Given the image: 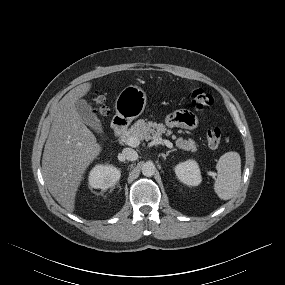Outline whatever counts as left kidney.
<instances>
[{
    "instance_id": "1",
    "label": "left kidney",
    "mask_w": 285,
    "mask_h": 285,
    "mask_svg": "<svg viewBox=\"0 0 285 285\" xmlns=\"http://www.w3.org/2000/svg\"><path fill=\"white\" fill-rule=\"evenodd\" d=\"M178 179L188 186H198L201 181V173L198 163L195 160L181 162L175 167Z\"/></svg>"
}]
</instances>
